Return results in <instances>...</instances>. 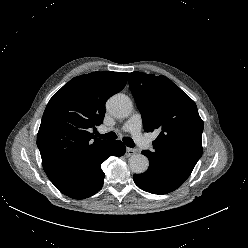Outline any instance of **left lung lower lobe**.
Returning a JSON list of instances; mask_svg holds the SVG:
<instances>
[{
  "label": "left lung lower lobe",
  "mask_w": 248,
  "mask_h": 248,
  "mask_svg": "<svg viewBox=\"0 0 248 248\" xmlns=\"http://www.w3.org/2000/svg\"><path fill=\"white\" fill-rule=\"evenodd\" d=\"M133 179L138 187L152 194H167L182 185L155 163H150L147 172L135 174Z\"/></svg>",
  "instance_id": "obj_1"
}]
</instances>
